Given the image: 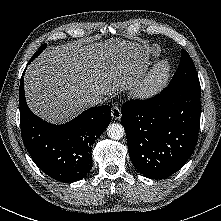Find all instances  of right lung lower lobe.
<instances>
[{"label": "right lung lower lobe", "instance_id": "1", "mask_svg": "<svg viewBox=\"0 0 221 221\" xmlns=\"http://www.w3.org/2000/svg\"><path fill=\"white\" fill-rule=\"evenodd\" d=\"M19 104L23 143L34 163L58 181L66 183L84 178L92 167L91 145L110 124V106L92 107L66 124L53 125L28 108L23 77Z\"/></svg>", "mask_w": 221, "mask_h": 221}]
</instances>
